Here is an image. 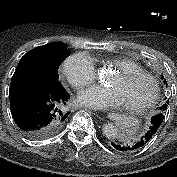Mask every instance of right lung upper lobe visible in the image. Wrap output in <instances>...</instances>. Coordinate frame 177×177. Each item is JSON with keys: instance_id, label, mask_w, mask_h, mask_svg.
<instances>
[{"instance_id": "right-lung-upper-lobe-1", "label": "right lung upper lobe", "mask_w": 177, "mask_h": 177, "mask_svg": "<svg viewBox=\"0 0 177 177\" xmlns=\"http://www.w3.org/2000/svg\"><path fill=\"white\" fill-rule=\"evenodd\" d=\"M58 43H50V44H47V45H43L42 47L44 48V49H47V48H50V47H52V46H55V45H57ZM34 50V49H33Z\"/></svg>"}]
</instances>
